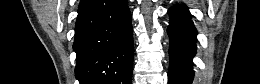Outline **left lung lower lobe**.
Returning a JSON list of instances; mask_svg holds the SVG:
<instances>
[{
  "label": "left lung lower lobe",
  "instance_id": "1",
  "mask_svg": "<svg viewBox=\"0 0 260 84\" xmlns=\"http://www.w3.org/2000/svg\"><path fill=\"white\" fill-rule=\"evenodd\" d=\"M170 24V67L168 79L170 84H192V58L196 53V29L189 18V12L184 5H175L168 11Z\"/></svg>",
  "mask_w": 260,
  "mask_h": 84
}]
</instances>
